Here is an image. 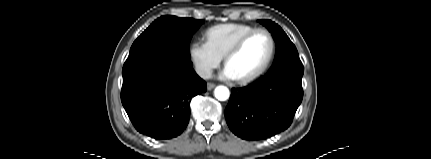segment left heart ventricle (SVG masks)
Returning <instances> with one entry per match:
<instances>
[{
    "instance_id": "left-heart-ventricle-1",
    "label": "left heart ventricle",
    "mask_w": 431,
    "mask_h": 159,
    "mask_svg": "<svg viewBox=\"0 0 431 159\" xmlns=\"http://www.w3.org/2000/svg\"><path fill=\"white\" fill-rule=\"evenodd\" d=\"M271 43L264 33L253 35L244 45L243 49L234 56L227 67L236 79L246 77L256 72L267 60Z\"/></svg>"
}]
</instances>
